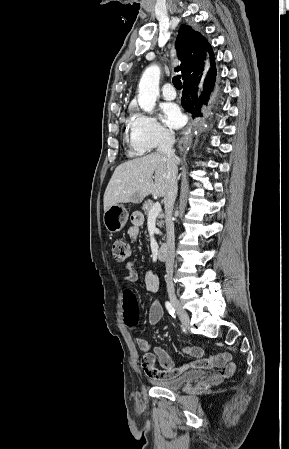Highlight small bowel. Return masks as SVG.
I'll use <instances>...</instances> for the list:
<instances>
[{"mask_svg": "<svg viewBox=\"0 0 289 449\" xmlns=\"http://www.w3.org/2000/svg\"><path fill=\"white\" fill-rule=\"evenodd\" d=\"M142 218L138 215L132 217V226L128 230V237L132 241H136L139 237V226ZM128 273L123 279L125 294L127 295L128 286L134 284L138 280V273L134 268V263L127 264ZM145 288L149 292H156L159 288V278L157 274L148 271L144 277ZM163 316V309L159 301H154L149 309L148 323L150 326L156 325ZM131 329H136V323L129 325ZM136 344L144 355L141 360L146 375L151 379H170L178 377L190 369H209L218 368L217 375L219 378L231 376L236 365L231 361V354L228 352L216 355H206L202 348L193 346L182 349L184 354L191 355L194 360L185 362L176 366L170 355L161 347H155L153 352L150 351L149 342L141 337L136 338ZM158 361L160 368L156 367Z\"/></svg>", "mask_w": 289, "mask_h": 449, "instance_id": "small-bowel-1", "label": "small bowel"}]
</instances>
